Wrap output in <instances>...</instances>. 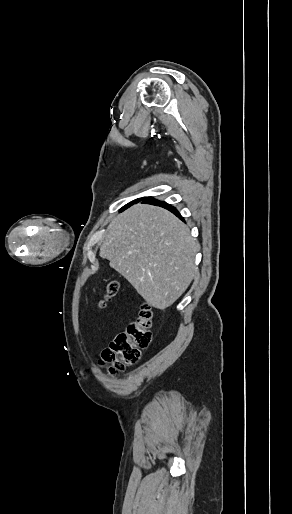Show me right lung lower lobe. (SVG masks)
<instances>
[{
	"mask_svg": "<svg viewBox=\"0 0 292 514\" xmlns=\"http://www.w3.org/2000/svg\"><path fill=\"white\" fill-rule=\"evenodd\" d=\"M142 200H143V203H150V204H153V205H157V206H161L163 208H166L167 210L171 211L176 216H178L181 220L184 221V219L181 217V215L179 214L177 209L175 207L167 204L166 202L156 200L153 197H144Z\"/></svg>",
	"mask_w": 292,
	"mask_h": 514,
	"instance_id": "98d812e1",
	"label": "right lung lower lobe"
}]
</instances>
